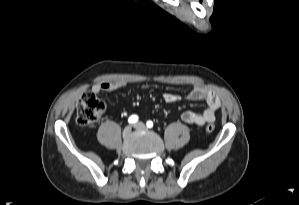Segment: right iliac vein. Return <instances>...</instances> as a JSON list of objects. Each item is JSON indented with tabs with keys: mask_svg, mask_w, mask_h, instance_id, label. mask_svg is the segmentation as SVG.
Listing matches in <instances>:
<instances>
[{
	"mask_svg": "<svg viewBox=\"0 0 299 205\" xmlns=\"http://www.w3.org/2000/svg\"><path fill=\"white\" fill-rule=\"evenodd\" d=\"M131 133V127L127 126L124 130H123V137L127 138Z\"/></svg>",
	"mask_w": 299,
	"mask_h": 205,
	"instance_id": "obj_1",
	"label": "right iliac vein"
}]
</instances>
